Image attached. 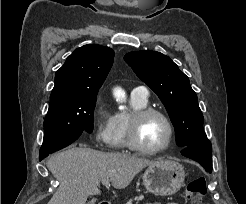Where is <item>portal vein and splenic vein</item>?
Returning a JSON list of instances; mask_svg holds the SVG:
<instances>
[{"label":"portal vein and splenic vein","mask_w":246,"mask_h":204,"mask_svg":"<svg viewBox=\"0 0 246 204\" xmlns=\"http://www.w3.org/2000/svg\"><path fill=\"white\" fill-rule=\"evenodd\" d=\"M102 184L105 186L109 185V179H103Z\"/></svg>","instance_id":"obj_1"}]
</instances>
